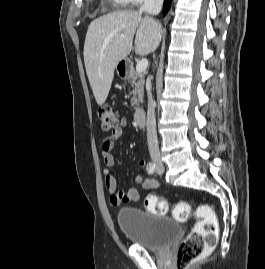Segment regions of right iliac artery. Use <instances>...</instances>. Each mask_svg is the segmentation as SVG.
<instances>
[{
	"mask_svg": "<svg viewBox=\"0 0 265 269\" xmlns=\"http://www.w3.org/2000/svg\"><path fill=\"white\" fill-rule=\"evenodd\" d=\"M155 169H156V166H155L154 163L150 162V163L147 165V171H148L149 174H154Z\"/></svg>",
	"mask_w": 265,
	"mask_h": 269,
	"instance_id": "1",
	"label": "right iliac artery"
}]
</instances>
